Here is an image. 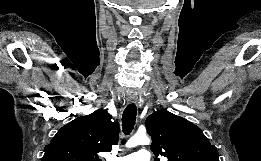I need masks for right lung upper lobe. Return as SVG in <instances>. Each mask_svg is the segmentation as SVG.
<instances>
[{
	"instance_id": "cb5924a9",
	"label": "right lung upper lobe",
	"mask_w": 261,
	"mask_h": 161,
	"mask_svg": "<svg viewBox=\"0 0 261 161\" xmlns=\"http://www.w3.org/2000/svg\"><path fill=\"white\" fill-rule=\"evenodd\" d=\"M118 138V122L98 109L63 126L45 146L41 161H100L98 154L109 152Z\"/></svg>"
}]
</instances>
